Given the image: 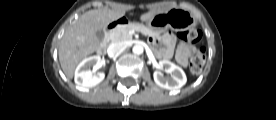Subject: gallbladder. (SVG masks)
Listing matches in <instances>:
<instances>
[{"label": "gallbladder", "mask_w": 276, "mask_h": 120, "mask_svg": "<svg viewBox=\"0 0 276 120\" xmlns=\"http://www.w3.org/2000/svg\"><path fill=\"white\" fill-rule=\"evenodd\" d=\"M96 35H97V37H98L100 40H102L103 37H104V33H103L102 30L97 31V32H96Z\"/></svg>", "instance_id": "obj_1"}]
</instances>
